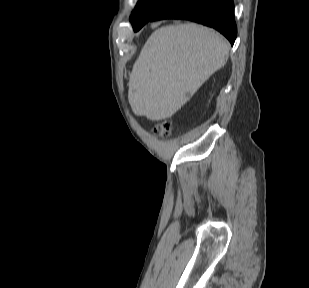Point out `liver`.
<instances>
[{
    "instance_id": "liver-1",
    "label": "liver",
    "mask_w": 309,
    "mask_h": 288,
    "mask_svg": "<svg viewBox=\"0 0 309 288\" xmlns=\"http://www.w3.org/2000/svg\"><path fill=\"white\" fill-rule=\"evenodd\" d=\"M229 43L195 23L154 31L133 65L128 99L134 114L151 121L172 117L227 62Z\"/></svg>"
}]
</instances>
